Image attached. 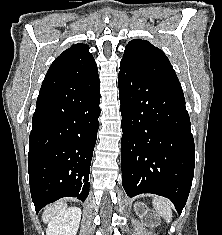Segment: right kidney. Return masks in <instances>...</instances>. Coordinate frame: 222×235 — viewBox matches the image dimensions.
I'll use <instances>...</instances> for the list:
<instances>
[{"mask_svg": "<svg viewBox=\"0 0 222 235\" xmlns=\"http://www.w3.org/2000/svg\"><path fill=\"white\" fill-rule=\"evenodd\" d=\"M81 214L79 208H69L63 211L49 222L46 235H76Z\"/></svg>", "mask_w": 222, "mask_h": 235, "instance_id": "obj_1", "label": "right kidney"}]
</instances>
